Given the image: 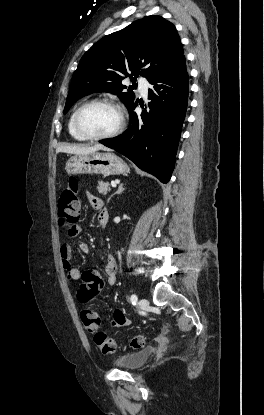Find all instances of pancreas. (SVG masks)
I'll list each match as a JSON object with an SVG mask.
<instances>
[{
	"mask_svg": "<svg viewBox=\"0 0 264 415\" xmlns=\"http://www.w3.org/2000/svg\"><path fill=\"white\" fill-rule=\"evenodd\" d=\"M97 190L100 194L106 195L110 191V185L108 182L99 181Z\"/></svg>",
	"mask_w": 264,
	"mask_h": 415,
	"instance_id": "pancreas-1",
	"label": "pancreas"
}]
</instances>
